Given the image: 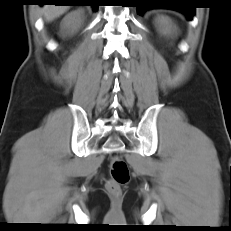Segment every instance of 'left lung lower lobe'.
Returning <instances> with one entry per match:
<instances>
[{
    "instance_id": "obj_1",
    "label": "left lung lower lobe",
    "mask_w": 231,
    "mask_h": 231,
    "mask_svg": "<svg viewBox=\"0 0 231 231\" xmlns=\"http://www.w3.org/2000/svg\"><path fill=\"white\" fill-rule=\"evenodd\" d=\"M138 14L152 8H170L182 12L188 19H192L194 7L189 5L188 0H135Z\"/></svg>"
}]
</instances>
